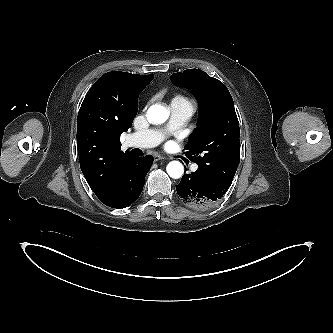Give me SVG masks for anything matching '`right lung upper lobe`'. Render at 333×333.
Wrapping results in <instances>:
<instances>
[{"mask_svg": "<svg viewBox=\"0 0 333 333\" xmlns=\"http://www.w3.org/2000/svg\"><path fill=\"white\" fill-rule=\"evenodd\" d=\"M127 72L102 75L86 94L77 118V148L81 170L99 199L109 195L124 161L120 135L137 114L138 95L151 82Z\"/></svg>", "mask_w": 333, "mask_h": 333, "instance_id": "obj_1", "label": "right lung upper lobe"}]
</instances>
